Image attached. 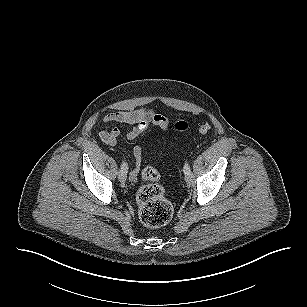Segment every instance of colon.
I'll return each mask as SVG.
<instances>
[{
    "instance_id": "colon-1",
    "label": "colon",
    "mask_w": 307,
    "mask_h": 307,
    "mask_svg": "<svg viewBox=\"0 0 307 307\" xmlns=\"http://www.w3.org/2000/svg\"><path fill=\"white\" fill-rule=\"evenodd\" d=\"M174 128L183 132L188 130L189 125L184 121H179ZM210 130L209 123H204L199 127V132L203 135L208 134ZM142 177L146 183L139 188L136 194L139 219L148 227H161L170 221L173 206L165 197L164 189L159 184L160 174L155 167H145Z\"/></svg>"
}]
</instances>
